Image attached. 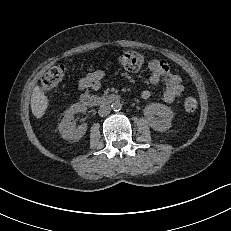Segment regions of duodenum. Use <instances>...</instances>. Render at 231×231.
I'll return each mask as SVG.
<instances>
[{
    "mask_svg": "<svg viewBox=\"0 0 231 231\" xmlns=\"http://www.w3.org/2000/svg\"><path fill=\"white\" fill-rule=\"evenodd\" d=\"M120 96L115 94H106L103 96H95L92 94L84 93L80 97V101L84 106L95 107L109 105L115 101H118Z\"/></svg>",
    "mask_w": 231,
    "mask_h": 231,
    "instance_id": "410a0bca",
    "label": "duodenum"
}]
</instances>
